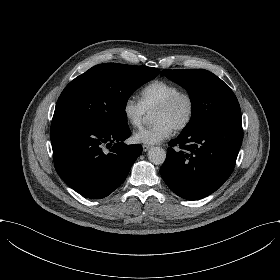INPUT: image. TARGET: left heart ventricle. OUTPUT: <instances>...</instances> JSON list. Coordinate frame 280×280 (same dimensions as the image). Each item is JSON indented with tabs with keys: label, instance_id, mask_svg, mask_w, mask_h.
Returning a JSON list of instances; mask_svg holds the SVG:
<instances>
[{
	"label": "left heart ventricle",
	"instance_id": "left-heart-ventricle-1",
	"mask_svg": "<svg viewBox=\"0 0 280 280\" xmlns=\"http://www.w3.org/2000/svg\"><path fill=\"white\" fill-rule=\"evenodd\" d=\"M189 104L186 99H181L177 104L167 110H155L153 115V122L156 123L160 120H165L172 124L174 127L183 121L188 114Z\"/></svg>",
	"mask_w": 280,
	"mask_h": 280
}]
</instances>
